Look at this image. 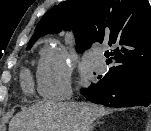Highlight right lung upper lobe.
<instances>
[{
	"instance_id": "cb5924a9",
	"label": "right lung upper lobe",
	"mask_w": 151,
	"mask_h": 131,
	"mask_svg": "<svg viewBox=\"0 0 151 131\" xmlns=\"http://www.w3.org/2000/svg\"><path fill=\"white\" fill-rule=\"evenodd\" d=\"M72 28L79 52L94 42L115 47L109 71L151 68V7L147 0H67L44 14L30 44L44 34Z\"/></svg>"
}]
</instances>
